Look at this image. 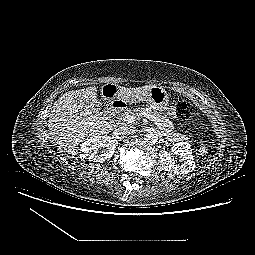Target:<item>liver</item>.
Returning a JSON list of instances; mask_svg holds the SVG:
<instances>
[{
	"mask_svg": "<svg viewBox=\"0 0 255 255\" xmlns=\"http://www.w3.org/2000/svg\"><path fill=\"white\" fill-rule=\"evenodd\" d=\"M118 88L117 97L123 103L136 104L145 99L152 85ZM100 105L96 87L62 94L53 104L48 121L49 134L54 138L56 145L74 155L78 145L84 140L110 133L113 125L102 117Z\"/></svg>",
	"mask_w": 255,
	"mask_h": 255,
	"instance_id": "liver-1",
	"label": "liver"
}]
</instances>
